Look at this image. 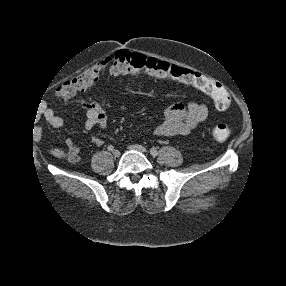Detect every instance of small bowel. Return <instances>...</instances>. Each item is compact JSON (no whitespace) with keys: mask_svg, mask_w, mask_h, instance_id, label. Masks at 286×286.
<instances>
[{"mask_svg":"<svg viewBox=\"0 0 286 286\" xmlns=\"http://www.w3.org/2000/svg\"><path fill=\"white\" fill-rule=\"evenodd\" d=\"M83 107L86 110L84 123L86 129H91L96 126L101 129L107 127L108 118L100 104L96 102H86L83 104ZM207 115V106L195 100H190L186 105H175L166 110L163 122L155 128L154 133L161 137L188 135L206 119ZM44 117L46 121L55 128L62 126L64 123L63 117L52 109H47L44 112ZM65 143L68 160L72 163L79 162L81 158L80 148L70 138H68ZM91 143L96 146H101L104 143V139L101 136H95L91 138ZM53 154L55 156H61L64 153L60 150H54Z\"/></svg>","mask_w":286,"mask_h":286,"instance_id":"obj_1","label":"small bowel"}]
</instances>
